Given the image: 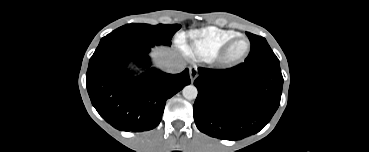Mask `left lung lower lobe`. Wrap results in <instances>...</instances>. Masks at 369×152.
Here are the masks:
<instances>
[{"instance_id": "left-lung-lower-lobe-1", "label": "left lung lower lobe", "mask_w": 369, "mask_h": 152, "mask_svg": "<svg viewBox=\"0 0 369 152\" xmlns=\"http://www.w3.org/2000/svg\"><path fill=\"white\" fill-rule=\"evenodd\" d=\"M198 71L194 120L211 137L240 140L253 135L279 107L283 86L279 62H244L228 69Z\"/></svg>"}]
</instances>
